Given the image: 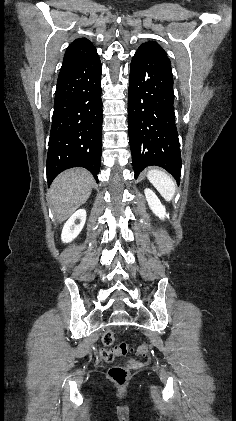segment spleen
I'll use <instances>...</instances> for the list:
<instances>
[{
	"mask_svg": "<svg viewBox=\"0 0 236 421\" xmlns=\"http://www.w3.org/2000/svg\"><path fill=\"white\" fill-rule=\"evenodd\" d=\"M147 176L165 200H172L176 192V184L167 172H163L159 168H151V170H148Z\"/></svg>",
	"mask_w": 236,
	"mask_h": 421,
	"instance_id": "spleen-1",
	"label": "spleen"
}]
</instances>
